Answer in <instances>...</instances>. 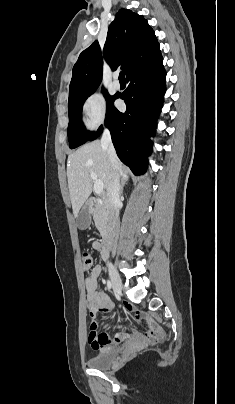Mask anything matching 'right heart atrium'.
<instances>
[{"label": "right heart atrium", "mask_w": 235, "mask_h": 404, "mask_svg": "<svg viewBox=\"0 0 235 404\" xmlns=\"http://www.w3.org/2000/svg\"><path fill=\"white\" fill-rule=\"evenodd\" d=\"M82 114L85 126L95 130L107 120V101L104 95L94 91L87 96L82 104Z\"/></svg>", "instance_id": "d8ad5b80"}]
</instances>
